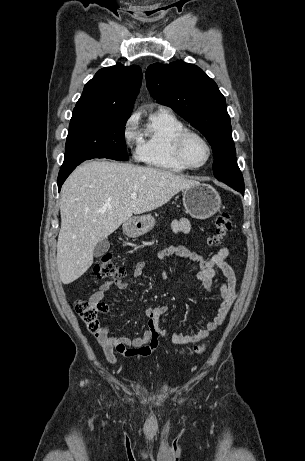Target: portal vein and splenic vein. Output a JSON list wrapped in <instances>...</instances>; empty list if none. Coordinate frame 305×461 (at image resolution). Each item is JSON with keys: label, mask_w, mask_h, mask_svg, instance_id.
Here are the masks:
<instances>
[{"label": "portal vein and splenic vein", "mask_w": 305, "mask_h": 461, "mask_svg": "<svg viewBox=\"0 0 305 461\" xmlns=\"http://www.w3.org/2000/svg\"><path fill=\"white\" fill-rule=\"evenodd\" d=\"M137 198V193H132L131 194V199H136Z\"/></svg>", "instance_id": "1"}]
</instances>
